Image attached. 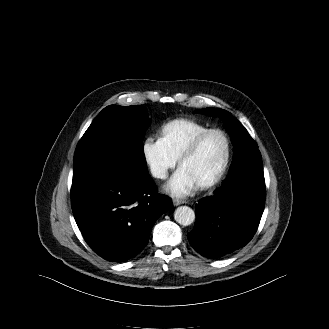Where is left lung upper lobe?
Instances as JSON below:
<instances>
[{"label":"left lung upper lobe","instance_id":"obj_1","mask_svg":"<svg viewBox=\"0 0 329 329\" xmlns=\"http://www.w3.org/2000/svg\"><path fill=\"white\" fill-rule=\"evenodd\" d=\"M196 112L219 115L226 118L227 127L234 145V157L231 167L238 160H250L262 163L261 154L256 142L250 137L247 130L236 118L232 117V115L228 114L225 110L218 108H206L197 110ZM219 194L220 190L218 188L214 196L218 197Z\"/></svg>","mask_w":329,"mask_h":329}]
</instances>
